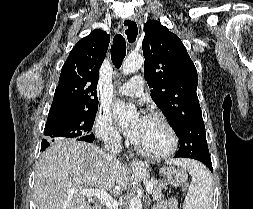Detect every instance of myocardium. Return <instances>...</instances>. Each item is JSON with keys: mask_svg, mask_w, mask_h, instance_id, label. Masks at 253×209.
I'll list each match as a JSON object with an SVG mask.
<instances>
[{"mask_svg": "<svg viewBox=\"0 0 253 209\" xmlns=\"http://www.w3.org/2000/svg\"><path fill=\"white\" fill-rule=\"evenodd\" d=\"M150 118L155 119L159 122H161L166 129L169 132L170 135V145L169 147L160 153H150L145 151L143 148H141L136 142L134 143V149L143 157L151 160H163L171 156L177 149L178 146V136L176 133L175 128L173 125L170 123V121L165 118L163 115L157 114V113H152L150 115Z\"/></svg>", "mask_w": 253, "mask_h": 209, "instance_id": "obj_1", "label": "myocardium"}]
</instances>
